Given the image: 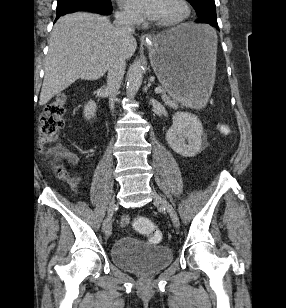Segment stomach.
Instances as JSON below:
<instances>
[{"instance_id":"obj_1","label":"stomach","mask_w":286,"mask_h":308,"mask_svg":"<svg viewBox=\"0 0 286 308\" xmlns=\"http://www.w3.org/2000/svg\"><path fill=\"white\" fill-rule=\"evenodd\" d=\"M150 60L162 86L187 107L208 99L215 80L217 35L206 24L187 23L155 36Z\"/></svg>"}]
</instances>
